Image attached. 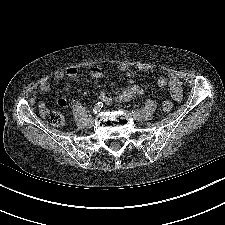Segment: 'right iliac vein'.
<instances>
[{"label":"right iliac vein","instance_id":"1","mask_svg":"<svg viewBox=\"0 0 225 225\" xmlns=\"http://www.w3.org/2000/svg\"><path fill=\"white\" fill-rule=\"evenodd\" d=\"M94 124V118L93 117H90L87 122H86V126L87 127H92Z\"/></svg>","mask_w":225,"mask_h":225}]
</instances>
